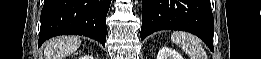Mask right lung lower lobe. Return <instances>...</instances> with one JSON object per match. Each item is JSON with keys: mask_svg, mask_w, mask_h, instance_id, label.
Here are the masks:
<instances>
[{"mask_svg": "<svg viewBox=\"0 0 261 59\" xmlns=\"http://www.w3.org/2000/svg\"><path fill=\"white\" fill-rule=\"evenodd\" d=\"M111 0H45L38 40L57 35H83L106 42V16Z\"/></svg>", "mask_w": 261, "mask_h": 59, "instance_id": "obj_1", "label": "right lung lower lobe"}]
</instances>
